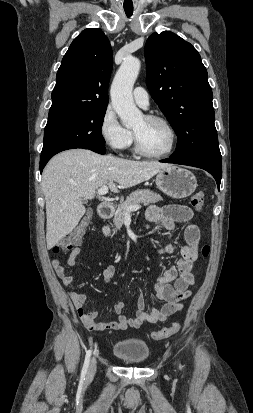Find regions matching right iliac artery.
<instances>
[{
  "label": "right iliac artery",
  "instance_id": "obj_1",
  "mask_svg": "<svg viewBox=\"0 0 253 413\" xmlns=\"http://www.w3.org/2000/svg\"><path fill=\"white\" fill-rule=\"evenodd\" d=\"M90 357H91V350H88L86 352L85 361H84L83 368H82V371H81V380L82 381L85 380V376L87 374V370H88V367H89Z\"/></svg>",
  "mask_w": 253,
  "mask_h": 413
}]
</instances>
